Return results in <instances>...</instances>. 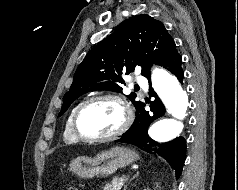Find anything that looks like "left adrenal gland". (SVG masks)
Wrapping results in <instances>:
<instances>
[{"instance_id": "left-adrenal-gland-1", "label": "left adrenal gland", "mask_w": 238, "mask_h": 190, "mask_svg": "<svg viewBox=\"0 0 238 190\" xmlns=\"http://www.w3.org/2000/svg\"><path fill=\"white\" fill-rule=\"evenodd\" d=\"M139 175V172H137L130 180H129V182H128V184L127 185H125V187H124V189L123 190H126L127 189V187H128V185H129V183L133 180V179H135L137 176Z\"/></svg>"}]
</instances>
